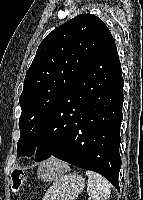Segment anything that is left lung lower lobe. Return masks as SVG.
<instances>
[{"mask_svg": "<svg viewBox=\"0 0 143 200\" xmlns=\"http://www.w3.org/2000/svg\"><path fill=\"white\" fill-rule=\"evenodd\" d=\"M124 81L114 38L65 91L45 124L35 161L50 156L102 174L118 190ZM60 120L56 116L60 111Z\"/></svg>", "mask_w": 143, "mask_h": 200, "instance_id": "obj_1", "label": "left lung lower lobe"}]
</instances>
